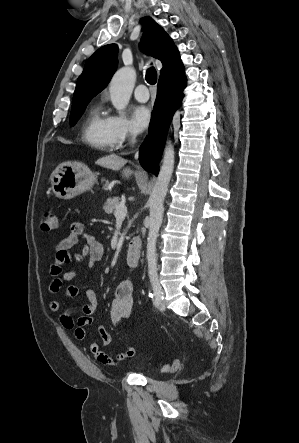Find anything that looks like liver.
I'll list each match as a JSON object with an SVG mask.
<instances>
[{
  "instance_id": "obj_1",
  "label": "liver",
  "mask_w": 299,
  "mask_h": 443,
  "mask_svg": "<svg viewBox=\"0 0 299 443\" xmlns=\"http://www.w3.org/2000/svg\"><path fill=\"white\" fill-rule=\"evenodd\" d=\"M126 163H127V161L125 159H123L120 156H117L115 154H110V155L101 157L96 161L97 165L102 166L107 169L120 170L121 168H123L122 177L128 179V178H130V176L132 174H134V171L131 170L130 167L124 168Z\"/></svg>"
}]
</instances>
